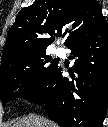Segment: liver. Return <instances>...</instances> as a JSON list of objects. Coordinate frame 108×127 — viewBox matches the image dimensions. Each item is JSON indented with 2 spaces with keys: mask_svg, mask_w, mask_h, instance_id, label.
<instances>
[{
  "mask_svg": "<svg viewBox=\"0 0 108 127\" xmlns=\"http://www.w3.org/2000/svg\"><path fill=\"white\" fill-rule=\"evenodd\" d=\"M13 127H57V125L45 117L31 114L20 119Z\"/></svg>",
  "mask_w": 108,
  "mask_h": 127,
  "instance_id": "1",
  "label": "liver"
}]
</instances>
